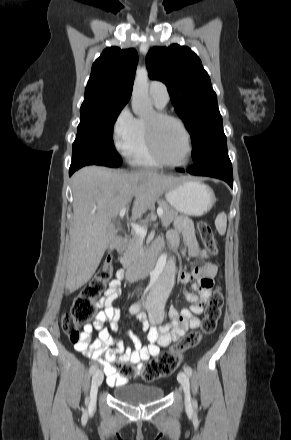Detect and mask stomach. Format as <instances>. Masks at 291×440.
I'll return each instance as SVG.
<instances>
[{"instance_id":"obj_1","label":"stomach","mask_w":291,"mask_h":440,"mask_svg":"<svg viewBox=\"0 0 291 440\" xmlns=\"http://www.w3.org/2000/svg\"><path fill=\"white\" fill-rule=\"evenodd\" d=\"M167 202L177 211L189 216H202L216 202L214 191L206 184L182 179L165 193Z\"/></svg>"}]
</instances>
